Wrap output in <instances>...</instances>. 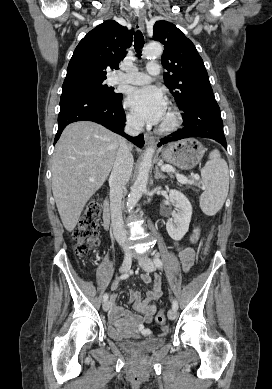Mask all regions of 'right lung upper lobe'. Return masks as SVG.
Masks as SVG:
<instances>
[{
  "label": "right lung upper lobe",
  "instance_id": "cb5924a9",
  "mask_svg": "<svg viewBox=\"0 0 272 389\" xmlns=\"http://www.w3.org/2000/svg\"><path fill=\"white\" fill-rule=\"evenodd\" d=\"M133 33L114 20L95 27L74 50L63 85L105 80L106 69H118L119 61L124 59Z\"/></svg>",
  "mask_w": 272,
  "mask_h": 389
}]
</instances>
